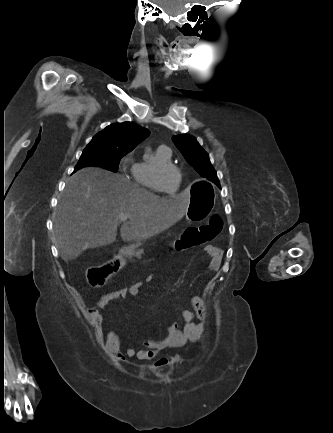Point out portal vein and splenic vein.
<instances>
[{"mask_svg": "<svg viewBox=\"0 0 333 433\" xmlns=\"http://www.w3.org/2000/svg\"><path fill=\"white\" fill-rule=\"evenodd\" d=\"M129 218H130V215L126 214V213H120L119 216H118V219H119L120 222H124L127 219H129Z\"/></svg>", "mask_w": 333, "mask_h": 433, "instance_id": "18ae733b", "label": "portal vein and splenic vein"}]
</instances>
